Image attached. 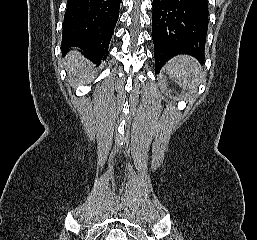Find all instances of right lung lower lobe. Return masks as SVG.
<instances>
[{
	"label": "right lung lower lobe",
	"mask_w": 257,
	"mask_h": 240,
	"mask_svg": "<svg viewBox=\"0 0 257 240\" xmlns=\"http://www.w3.org/2000/svg\"><path fill=\"white\" fill-rule=\"evenodd\" d=\"M121 0H68L63 22L62 52L76 46L86 58L100 64L119 17Z\"/></svg>",
	"instance_id": "right-lung-lower-lobe-1"
}]
</instances>
